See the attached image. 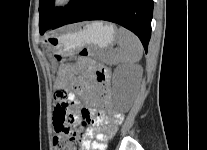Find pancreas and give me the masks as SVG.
Wrapping results in <instances>:
<instances>
[{"instance_id": "1", "label": "pancreas", "mask_w": 207, "mask_h": 150, "mask_svg": "<svg viewBox=\"0 0 207 150\" xmlns=\"http://www.w3.org/2000/svg\"><path fill=\"white\" fill-rule=\"evenodd\" d=\"M101 60L110 64V65H114L117 63L116 54L112 50L102 51Z\"/></svg>"}]
</instances>
